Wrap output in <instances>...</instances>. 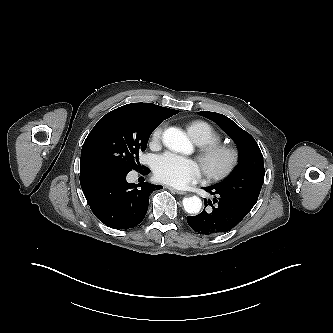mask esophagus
Wrapping results in <instances>:
<instances>
[{"mask_svg":"<svg viewBox=\"0 0 333 333\" xmlns=\"http://www.w3.org/2000/svg\"><path fill=\"white\" fill-rule=\"evenodd\" d=\"M167 189H169L170 191H172V192H174L176 194H179V195H185L186 194V192L181 191V190H177V189H175L173 187H170V186H168Z\"/></svg>","mask_w":333,"mask_h":333,"instance_id":"34e87169","label":"esophagus"}]
</instances>
